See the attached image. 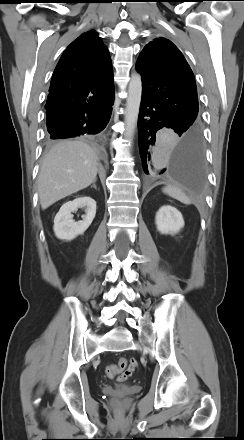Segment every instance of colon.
I'll return each instance as SVG.
<instances>
[{"mask_svg": "<svg viewBox=\"0 0 244 440\" xmlns=\"http://www.w3.org/2000/svg\"><path fill=\"white\" fill-rule=\"evenodd\" d=\"M137 366L138 362L135 358H130L129 360L122 358L117 364L107 366L106 375L109 378L117 377L119 381H125L131 376Z\"/></svg>", "mask_w": 244, "mask_h": 440, "instance_id": "1", "label": "colon"}]
</instances>
